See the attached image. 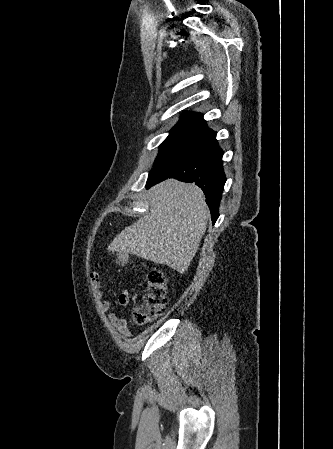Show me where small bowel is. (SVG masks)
Returning a JSON list of instances; mask_svg holds the SVG:
<instances>
[{
  "label": "small bowel",
  "mask_w": 333,
  "mask_h": 449,
  "mask_svg": "<svg viewBox=\"0 0 333 449\" xmlns=\"http://www.w3.org/2000/svg\"><path fill=\"white\" fill-rule=\"evenodd\" d=\"M91 285L93 289V293L98 305V308L102 312H110L112 309V304L110 301L105 299L104 287L102 284V279L100 272L95 270L91 275ZM130 300V292L127 288H123L118 295V304L122 307H125ZM111 322L117 328L119 333L124 337H129L130 332L127 326V322L124 318L118 317L116 314L111 313L109 315Z\"/></svg>",
  "instance_id": "small-bowel-1"
}]
</instances>
